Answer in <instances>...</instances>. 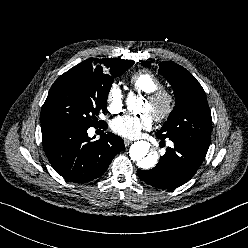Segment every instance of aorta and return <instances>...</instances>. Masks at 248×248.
I'll return each mask as SVG.
<instances>
[{
  "label": "aorta",
  "mask_w": 248,
  "mask_h": 248,
  "mask_svg": "<svg viewBox=\"0 0 248 248\" xmlns=\"http://www.w3.org/2000/svg\"><path fill=\"white\" fill-rule=\"evenodd\" d=\"M140 98L129 96L126 100V105L129 110L135 111L138 107ZM150 143L147 141H137L132 144L129 150L130 158L137 162L138 167L143 169L153 168L158 161L157 152L150 151Z\"/></svg>",
  "instance_id": "obj_1"
}]
</instances>
